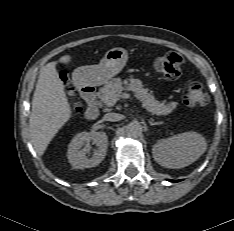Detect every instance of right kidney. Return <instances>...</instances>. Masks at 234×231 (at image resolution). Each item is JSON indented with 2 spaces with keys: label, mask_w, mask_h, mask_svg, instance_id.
Instances as JSON below:
<instances>
[{
  "label": "right kidney",
  "mask_w": 234,
  "mask_h": 231,
  "mask_svg": "<svg viewBox=\"0 0 234 231\" xmlns=\"http://www.w3.org/2000/svg\"><path fill=\"white\" fill-rule=\"evenodd\" d=\"M98 147L91 157L87 156L90 142ZM108 137L105 132H81L77 134L68 146L67 157L75 168H90L97 166L106 156ZM83 147V148H82Z\"/></svg>",
  "instance_id": "ca27d5eb"
}]
</instances>
